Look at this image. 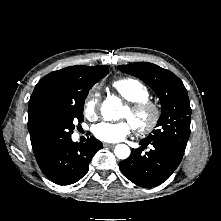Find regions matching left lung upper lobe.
Instances as JSON below:
<instances>
[{"label":"left lung upper lobe","instance_id":"obj_1","mask_svg":"<svg viewBox=\"0 0 221 221\" xmlns=\"http://www.w3.org/2000/svg\"><path fill=\"white\" fill-rule=\"evenodd\" d=\"M148 84L161 102V116L157 129L144 140L165 143L185 151L190 136L191 108L187 90L171 71L148 62L118 66Z\"/></svg>","mask_w":221,"mask_h":221}]
</instances>
